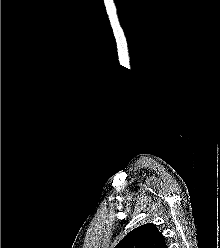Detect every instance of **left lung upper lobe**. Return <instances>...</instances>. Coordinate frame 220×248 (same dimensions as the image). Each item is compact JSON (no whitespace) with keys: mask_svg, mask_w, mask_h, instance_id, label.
Returning <instances> with one entry per match:
<instances>
[{"mask_svg":"<svg viewBox=\"0 0 220 248\" xmlns=\"http://www.w3.org/2000/svg\"><path fill=\"white\" fill-rule=\"evenodd\" d=\"M115 248H168L156 225L144 224L129 232Z\"/></svg>","mask_w":220,"mask_h":248,"instance_id":"5c2ea615","label":"left lung upper lobe"}]
</instances>
